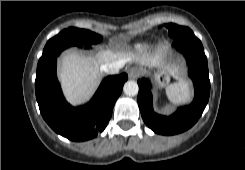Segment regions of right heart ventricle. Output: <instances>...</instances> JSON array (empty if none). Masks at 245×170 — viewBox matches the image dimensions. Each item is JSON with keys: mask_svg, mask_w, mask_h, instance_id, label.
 Returning <instances> with one entry per match:
<instances>
[{"mask_svg": "<svg viewBox=\"0 0 245 170\" xmlns=\"http://www.w3.org/2000/svg\"><path fill=\"white\" fill-rule=\"evenodd\" d=\"M144 47H147V44H138L137 48L143 49Z\"/></svg>", "mask_w": 245, "mask_h": 170, "instance_id": "right-heart-ventricle-1", "label": "right heart ventricle"}]
</instances>
